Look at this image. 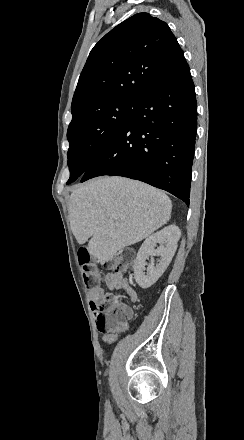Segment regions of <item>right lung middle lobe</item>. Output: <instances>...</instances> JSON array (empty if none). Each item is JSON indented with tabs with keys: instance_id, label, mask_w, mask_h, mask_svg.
Returning <instances> with one entry per match:
<instances>
[{
	"instance_id": "obj_1",
	"label": "right lung middle lobe",
	"mask_w": 244,
	"mask_h": 440,
	"mask_svg": "<svg viewBox=\"0 0 244 440\" xmlns=\"http://www.w3.org/2000/svg\"><path fill=\"white\" fill-rule=\"evenodd\" d=\"M141 97H112L82 104L72 109L67 138L70 178L67 184L83 175L99 153L126 125Z\"/></svg>"
}]
</instances>
